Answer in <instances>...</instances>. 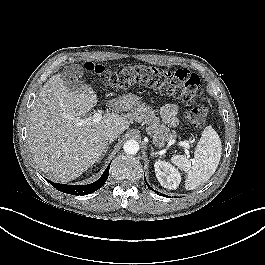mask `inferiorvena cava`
Returning a JSON list of instances; mask_svg holds the SVG:
<instances>
[{"mask_svg": "<svg viewBox=\"0 0 265 265\" xmlns=\"http://www.w3.org/2000/svg\"><path fill=\"white\" fill-rule=\"evenodd\" d=\"M117 137H118V134L115 131H107L104 134V138L106 140H113V139H116Z\"/></svg>", "mask_w": 265, "mask_h": 265, "instance_id": "602c4592", "label": "inferior vena cava"}]
</instances>
